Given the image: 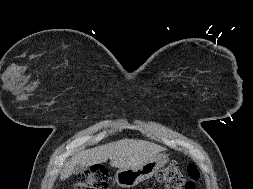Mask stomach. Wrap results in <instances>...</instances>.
Segmentation results:
<instances>
[{"mask_svg":"<svg viewBox=\"0 0 253 189\" xmlns=\"http://www.w3.org/2000/svg\"><path fill=\"white\" fill-rule=\"evenodd\" d=\"M168 160L166 154H158L138 167L119 169L115 174V181L123 188L136 186L152 177L160 168L167 164Z\"/></svg>","mask_w":253,"mask_h":189,"instance_id":"0dacf381","label":"stomach"}]
</instances>
